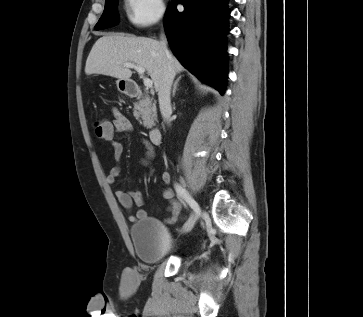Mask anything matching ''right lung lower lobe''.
Listing matches in <instances>:
<instances>
[{
  "mask_svg": "<svg viewBox=\"0 0 363 317\" xmlns=\"http://www.w3.org/2000/svg\"><path fill=\"white\" fill-rule=\"evenodd\" d=\"M173 0L165 15L169 45L178 60L203 82L224 93L227 77V0Z\"/></svg>",
  "mask_w": 363,
  "mask_h": 317,
  "instance_id": "98d812e1",
  "label": "right lung lower lobe"
}]
</instances>
